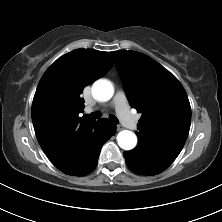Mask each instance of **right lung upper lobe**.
<instances>
[{"label": "right lung upper lobe", "instance_id": "cb5924a9", "mask_svg": "<svg viewBox=\"0 0 222 222\" xmlns=\"http://www.w3.org/2000/svg\"><path fill=\"white\" fill-rule=\"evenodd\" d=\"M114 65L108 52L77 49L58 58L42 76L33 99L32 120L38 142L61 171L76 166L96 123L85 116L83 89Z\"/></svg>", "mask_w": 222, "mask_h": 222}]
</instances>
